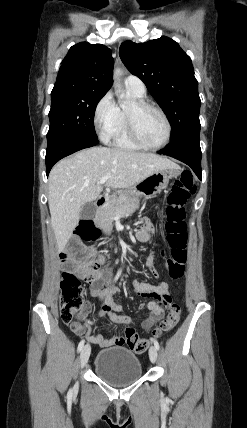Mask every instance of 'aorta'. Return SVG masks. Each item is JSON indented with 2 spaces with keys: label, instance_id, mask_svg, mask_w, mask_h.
Returning <instances> with one entry per match:
<instances>
[{
  "label": "aorta",
  "instance_id": "obj_1",
  "mask_svg": "<svg viewBox=\"0 0 247 428\" xmlns=\"http://www.w3.org/2000/svg\"><path fill=\"white\" fill-rule=\"evenodd\" d=\"M119 73H120V70L119 69H116L115 70V72H114V78H117L118 77V75H119ZM125 98V95L124 94H121L120 95V99H124Z\"/></svg>",
  "mask_w": 247,
  "mask_h": 428
}]
</instances>
